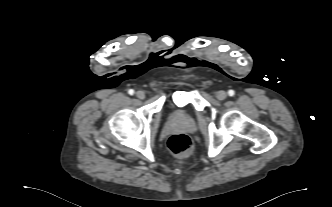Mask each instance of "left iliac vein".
<instances>
[{
    "instance_id": "1",
    "label": "left iliac vein",
    "mask_w": 332,
    "mask_h": 207,
    "mask_svg": "<svg viewBox=\"0 0 332 207\" xmlns=\"http://www.w3.org/2000/svg\"><path fill=\"white\" fill-rule=\"evenodd\" d=\"M226 97H227V93H226L225 91H223V90L218 91V92L216 93V98H217L218 100H224V99H226Z\"/></svg>"
}]
</instances>
